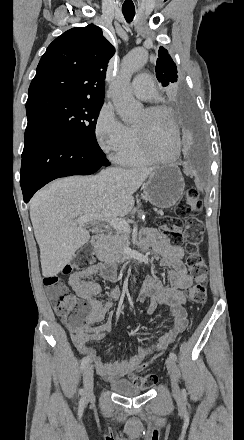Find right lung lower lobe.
<instances>
[{
    "instance_id": "right-lung-lower-lobe-1",
    "label": "right lung lower lobe",
    "mask_w": 244,
    "mask_h": 440,
    "mask_svg": "<svg viewBox=\"0 0 244 440\" xmlns=\"http://www.w3.org/2000/svg\"><path fill=\"white\" fill-rule=\"evenodd\" d=\"M109 162L92 145L47 128H26L20 185L24 202L48 182L72 175H90Z\"/></svg>"
}]
</instances>
